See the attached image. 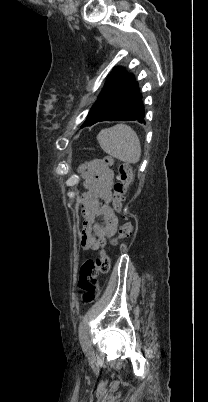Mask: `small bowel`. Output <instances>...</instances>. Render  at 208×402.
Instances as JSON below:
<instances>
[{"mask_svg": "<svg viewBox=\"0 0 208 402\" xmlns=\"http://www.w3.org/2000/svg\"><path fill=\"white\" fill-rule=\"evenodd\" d=\"M86 192L80 198L83 228L79 233L83 248L98 249L118 228L111 206L115 174L101 159H92L79 167Z\"/></svg>", "mask_w": 208, "mask_h": 402, "instance_id": "small-bowel-1", "label": "small bowel"}]
</instances>
